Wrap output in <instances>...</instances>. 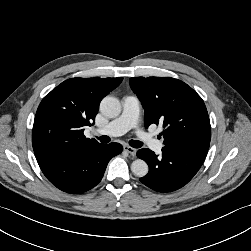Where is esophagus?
Returning <instances> with one entry per match:
<instances>
[{"mask_svg": "<svg viewBox=\"0 0 251 251\" xmlns=\"http://www.w3.org/2000/svg\"><path fill=\"white\" fill-rule=\"evenodd\" d=\"M124 151L128 152L131 156L136 155V149H134L133 147H130L128 145L124 146Z\"/></svg>", "mask_w": 251, "mask_h": 251, "instance_id": "34e87169", "label": "esophagus"}]
</instances>
